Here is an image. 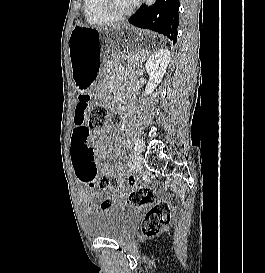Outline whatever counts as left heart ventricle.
Returning a JSON list of instances; mask_svg holds the SVG:
<instances>
[{
    "mask_svg": "<svg viewBox=\"0 0 265 273\" xmlns=\"http://www.w3.org/2000/svg\"><path fill=\"white\" fill-rule=\"evenodd\" d=\"M134 1L135 0H111V7L115 12L121 13L126 11Z\"/></svg>",
    "mask_w": 265,
    "mask_h": 273,
    "instance_id": "1",
    "label": "left heart ventricle"
}]
</instances>
